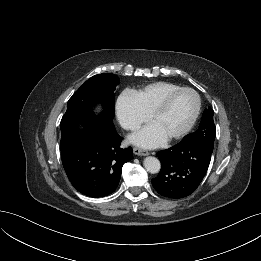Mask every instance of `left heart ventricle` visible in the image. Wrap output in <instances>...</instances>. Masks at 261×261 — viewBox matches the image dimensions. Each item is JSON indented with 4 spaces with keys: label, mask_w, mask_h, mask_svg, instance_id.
I'll use <instances>...</instances> for the list:
<instances>
[{
    "label": "left heart ventricle",
    "mask_w": 261,
    "mask_h": 261,
    "mask_svg": "<svg viewBox=\"0 0 261 261\" xmlns=\"http://www.w3.org/2000/svg\"><path fill=\"white\" fill-rule=\"evenodd\" d=\"M196 98L190 92H183L172 99L167 109L158 115L152 123L166 137L181 131L189 122L195 110Z\"/></svg>",
    "instance_id": "b2bd125f"
}]
</instances>
